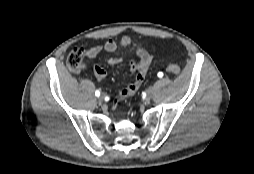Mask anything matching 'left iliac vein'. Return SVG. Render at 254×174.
<instances>
[{
	"label": "left iliac vein",
	"mask_w": 254,
	"mask_h": 174,
	"mask_svg": "<svg viewBox=\"0 0 254 174\" xmlns=\"http://www.w3.org/2000/svg\"><path fill=\"white\" fill-rule=\"evenodd\" d=\"M155 92V88L154 87H149L147 90V100H150Z\"/></svg>",
	"instance_id": "4c4485c4"
}]
</instances>
